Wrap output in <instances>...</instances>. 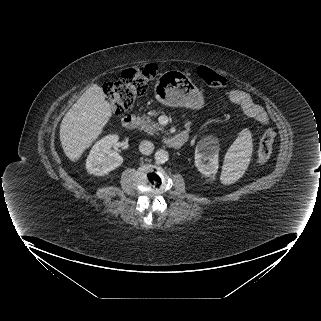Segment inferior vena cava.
Returning <instances> with one entry per match:
<instances>
[{"mask_svg":"<svg viewBox=\"0 0 321 321\" xmlns=\"http://www.w3.org/2000/svg\"><path fill=\"white\" fill-rule=\"evenodd\" d=\"M139 150L144 155H150L154 150V144L151 141L144 140L140 143Z\"/></svg>","mask_w":321,"mask_h":321,"instance_id":"602c4592","label":"inferior vena cava"}]
</instances>
